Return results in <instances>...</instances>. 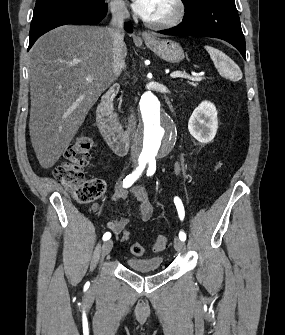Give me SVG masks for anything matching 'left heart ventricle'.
I'll return each instance as SVG.
<instances>
[{"instance_id": "1", "label": "left heart ventricle", "mask_w": 285, "mask_h": 335, "mask_svg": "<svg viewBox=\"0 0 285 335\" xmlns=\"http://www.w3.org/2000/svg\"><path fill=\"white\" fill-rule=\"evenodd\" d=\"M173 13L169 1H155V10L152 18L153 23H158Z\"/></svg>"}]
</instances>
